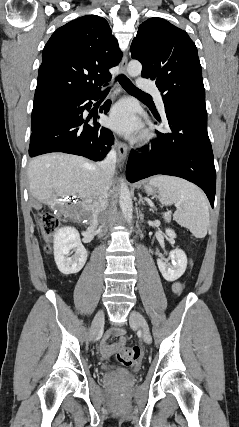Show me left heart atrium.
Segmentation results:
<instances>
[{"mask_svg":"<svg viewBox=\"0 0 239 427\" xmlns=\"http://www.w3.org/2000/svg\"><path fill=\"white\" fill-rule=\"evenodd\" d=\"M108 124L115 131L125 135H133L140 129L134 106L128 101H121L112 108Z\"/></svg>","mask_w":239,"mask_h":427,"instance_id":"obj_1","label":"left heart atrium"}]
</instances>
